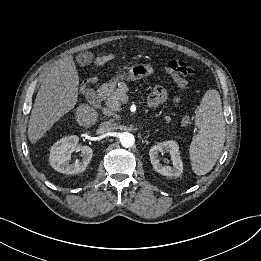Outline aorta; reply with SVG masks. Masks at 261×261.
I'll return each instance as SVG.
<instances>
[{
  "mask_svg": "<svg viewBox=\"0 0 261 261\" xmlns=\"http://www.w3.org/2000/svg\"><path fill=\"white\" fill-rule=\"evenodd\" d=\"M119 139H120L122 146L125 148L132 147L135 142L134 136L128 132L121 133L119 136Z\"/></svg>",
  "mask_w": 261,
  "mask_h": 261,
  "instance_id": "obj_1",
  "label": "aorta"
}]
</instances>
